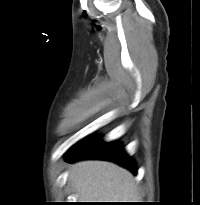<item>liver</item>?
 <instances>
[{"mask_svg":"<svg viewBox=\"0 0 200 205\" xmlns=\"http://www.w3.org/2000/svg\"><path fill=\"white\" fill-rule=\"evenodd\" d=\"M68 179L80 200H99L82 202L139 200L133 175L112 162L98 160L77 162L70 166Z\"/></svg>","mask_w":200,"mask_h":205,"instance_id":"1","label":"liver"}]
</instances>
